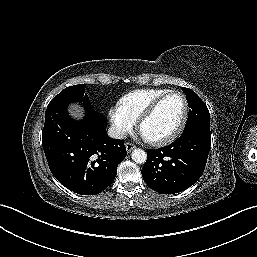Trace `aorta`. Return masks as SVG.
<instances>
[{
	"label": "aorta",
	"mask_w": 257,
	"mask_h": 257,
	"mask_svg": "<svg viewBox=\"0 0 257 257\" xmlns=\"http://www.w3.org/2000/svg\"><path fill=\"white\" fill-rule=\"evenodd\" d=\"M132 159L138 164H143L147 160V154L142 149H135L132 151Z\"/></svg>",
	"instance_id": "1"
}]
</instances>
